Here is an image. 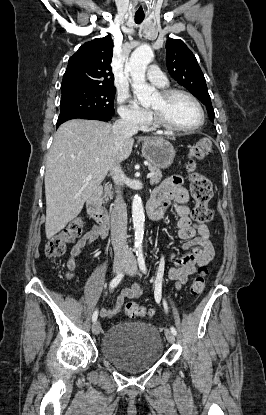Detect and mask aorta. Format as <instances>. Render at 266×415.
<instances>
[{
  "mask_svg": "<svg viewBox=\"0 0 266 415\" xmlns=\"http://www.w3.org/2000/svg\"><path fill=\"white\" fill-rule=\"evenodd\" d=\"M154 57L149 45H141L131 54L129 61L125 64V69L130 72L132 79L133 93L143 106H148L156 95V89L147 84L145 72L148 64ZM132 218L135 230V247L142 248L144 235V209L141 199L135 196L132 202Z\"/></svg>",
  "mask_w": 266,
  "mask_h": 415,
  "instance_id": "aorta-1",
  "label": "aorta"
}]
</instances>
